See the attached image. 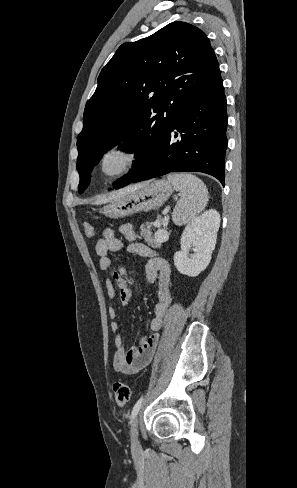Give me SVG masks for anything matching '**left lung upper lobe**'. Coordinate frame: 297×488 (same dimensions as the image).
<instances>
[{
    "mask_svg": "<svg viewBox=\"0 0 297 488\" xmlns=\"http://www.w3.org/2000/svg\"><path fill=\"white\" fill-rule=\"evenodd\" d=\"M219 75L208 38L188 23L172 22L147 38L121 45L86 103L77 137L78 191L88 187L103 152L124 140L141 157L114 185L123 187L152 159L185 108Z\"/></svg>",
    "mask_w": 297,
    "mask_h": 488,
    "instance_id": "obj_1",
    "label": "left lung upper lobe"
}]
</instances>
